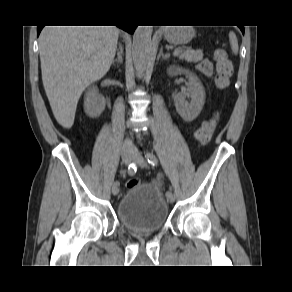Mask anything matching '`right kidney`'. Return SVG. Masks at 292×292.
Segmentation results:
<instances>
[{
  "mask_svg": "<svg viewBox=\"0 0 292 292\" xmlns=\"http://www.w3.org/2000/svg\"><path fill=\"white\" fill-rule=\"evenodd\" d=\"M84 109L92 118L99 117L105 109V98L98 93L96 86L88 89L84 100Z\"/></svg>",
  "mask_w": 292,
  "mask_h": 292,
  "instance_id": "right-kidney-1",
  "label": "right kidney"
}]
</instances>
